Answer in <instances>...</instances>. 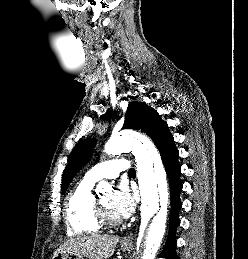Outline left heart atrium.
Masks as SVG:
<instances>
[{"mask_svg": "<svg viewBox=\"0 0 248 259\" xmlns=\"http://www.w3.org/2000/svg\"><path fill=\"white\" fill-rule=\"evenodd\" d=\"M112 208L118 217L127 218L135 209V198L124 184H120L112 196Z\"/></svg>", "mask_w": 248, "mask_h": 259, "instance_id": "39dd6f15", "label": "left heart atrium"}]
</instances>
